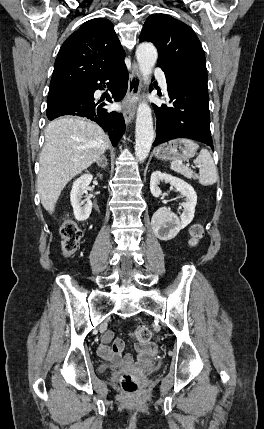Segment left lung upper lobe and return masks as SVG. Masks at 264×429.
Listing matches in <instances>:
<instances>
[{
  "instance_id": "1",
  "label": "left lung upper lobe",
  "mask_w": 264,
  "mask_h": 429,
  "mask_svg": "<svg viewBox=\"0 0 264 429\" xmlns=\"http://www.w3.org/2000/svg\"><path fill=\"white\" fill-rule=\"evenodd\" d=\"M139 41L156 46L158 66H166L208 89L204 51L188 25L166 14H153L145 21Z\"/></svg>"
}]
</instances>
